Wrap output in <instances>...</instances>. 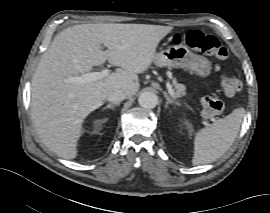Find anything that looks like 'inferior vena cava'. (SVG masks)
I'll use <instances>...</instances> for the list:
<instances>
[{
    "instance_id": "obj_1",
    "label": "inferior vena cava",
    "mask_w": 270,
    "mask_h": 213,
    "mask_svg": "<svg viewBox=\"0 0 270 213\" xmlns=\"http://www.w3.org/2000/svg\"><path fill=\"white\" fill-rule=\"evenodd\" d=\"M127 94L126 92L120 90V89H116L111 91L108 96H107V100L112 102V103H119L121 101H123L124 99H126Z\"/></svg>"
}]
</instances>
